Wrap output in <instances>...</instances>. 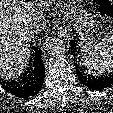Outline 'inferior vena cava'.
<instances>
[{
    "label": "inferior vena cava",
    "mask_w": 113,
    "mask_h": 113,
    "mask_svg": "<svg viewBox=\"0 0 113 113\" xmlns=\"http://www.w3.org/2000/svg\"><path fill=\"white\" fill-rule=\"evenodd\" d=\"M46 27V20L43 16L39 15L34 17L29 25V32L33 35L41 32Z\"/></svg>",
    "instance_id": "obj_1"
}]
</instances>
